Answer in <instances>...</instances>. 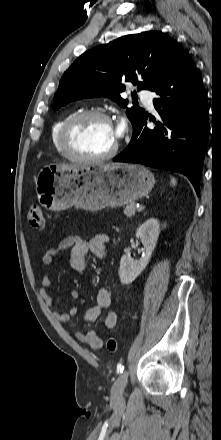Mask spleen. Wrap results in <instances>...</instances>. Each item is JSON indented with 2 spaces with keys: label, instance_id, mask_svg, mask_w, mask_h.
<instances>
[{
  "label": "spleen",
  "instance_id": "1",
  "mask_svg": "<svg viewBox=\"0 0 221 440\" xmlns=\"http://www.w3.org/2000/svg\"><path fill=\"white\" fill-rule=\"evenodd\" d=\"M176 183H177L176 179L174 177H171L170 185L174 187Z\"/></svg>",
  "mask_w": 221,
  "mask_h": 440
}]
</instances>
